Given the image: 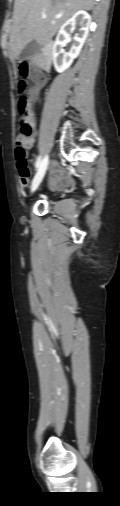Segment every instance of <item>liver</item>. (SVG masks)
Listing matches in <instances>:
<instances>
[{"instance_id":"obj_1","label":"liver","mask_w":120,"mask_h":506,"mask_svg":"<svg viewBox=\"0 0 120 506\" xmlns=\"http://www.w3.org/2000/svg\"><path fill=\"white\" fill-rule=\"evenodd\" d=\"M93 7L94 0H15L9 41L12 56L18 58L32 40L46 45L72 15ZM32 61L44 65L40 55L33 56Z\"/></svg>"}]
</instances>
